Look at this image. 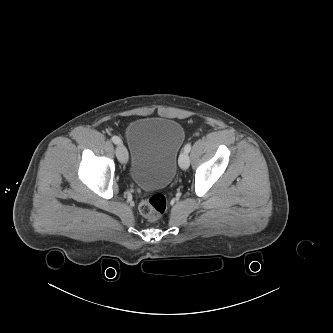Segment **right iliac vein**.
Wrapping results in <instances>:
<instances>
[{
  "instance_id": "63e3f726",
  "label": "right iliac vein",
  "mask_w": 333,
  "mask_h": 333,
  "mask_svg": "<svg viewBox=\"0 0 333 333\" xmlns=\"http://www.w3.org/2000/svg\"><path fill=\"white\" fill-rule=\"evenodd\" d=\"M116 156L122 164H126L128 161V152L123 144H118L116 147Z\"/></svg>"
}]
</instances>
